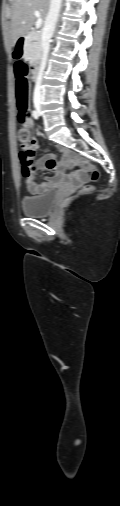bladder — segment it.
Instances as JSON below:
<instances>
[{
  "label": "bladder",
  "instance_id": "31cf9c89",
  "mask_svg": "<svg viewBox=\"0 0 120 506\" xmlns=\"http://www.w3.org/2000/svg\"><path fill=\"white\" fill-rule=\"evenodd\" d=\"M56 196L57 193L55 190H49L36 196H23L21 198L22 211L25 215L30 217L45 216L55 203Z\"/></svg>",
  "mask_w": 120,
  "mask_h": 506
}]
</instances>
